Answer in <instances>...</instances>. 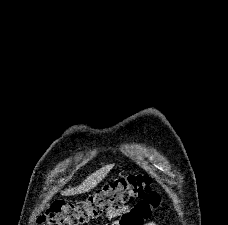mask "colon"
Here are the masks:
<instances>
[{
  "mask_svg": "<svg viewBox=\"0 0 228 225\" xmlns=\"http://www.w3.org/2000/svg\"><path fill=\"white\" fill-rule=\"evenodd\" d=\"M135 200L160 205L162 199L143 175L117 179L82 201L55 200L39 218L40 225H83L89 220L130 206Z\"/></svg>",
  "mask_w": 228,
  "mask_h": 225,
  "instance_id": "colon-1",
  "label": "colon"
}]
</instances>
